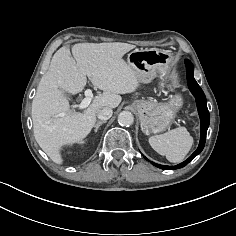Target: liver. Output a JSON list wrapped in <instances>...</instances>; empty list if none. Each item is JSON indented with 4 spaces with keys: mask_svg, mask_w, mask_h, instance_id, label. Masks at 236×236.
Instances as JSON below:
<instances>
[{
    "mask_svg": "<svg viewBox=\"0 0 236 236\" xmlns=\"http://www.w3.org/2000/svg\"><path fill=\"white\" fill-rule=\"evenodd\" d=\"M135 45L112 43H77L61 47L42 76L32 102L34 136L41 149L63 164L61 149L73 145L91 132L96 114L103 107L116 108L120 94L132 93L140 85L138 72L123 60ZM103 93L94 97L82 113L70 110L67 94L81 92L87 82Z\"/></svg>",
    "mask_w": 236,
    "mask_h": 236,
    "instance_id": "obj_1",
    "label": "liver"
}]
</instances>
